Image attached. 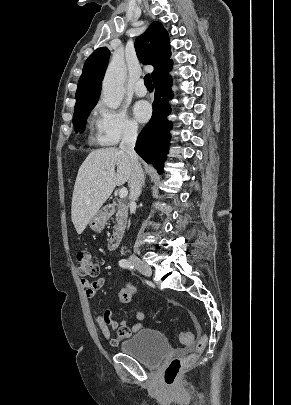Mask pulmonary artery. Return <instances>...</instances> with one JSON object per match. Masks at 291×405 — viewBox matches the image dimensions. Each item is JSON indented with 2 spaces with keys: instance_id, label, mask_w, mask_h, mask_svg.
Here are the masks:
<instances>
[{
  "instance_id": "obj_1",
  "label": "pulmonary artery",
  "mask_w": 291,
  "mask_h": 405,
  "mask_svg": "<svg viewBox=\"0 0 291 405\" xmlns=\"http://www.w3.org/2000/svg\"><path fill=\"white\" fill-rule=\"evenodd\" d=\"M134 92L137 96L142 97L145 96L147 93L146 87L142 80H139L136 85L134 86Z\"/></svg>"
}]
</instances>
